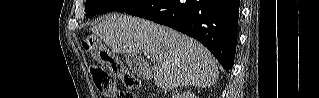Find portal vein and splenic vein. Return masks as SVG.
<instances>
[{"label":"portal vein and splenic vein","instance_id":"portal-vein-and-splenic-vein-1","mask_svg":"<svg viewBox=\"0 0 319 98\" xmlns=\"http://www.w3.org/2000/svg\"><path fill=\"white\" fill-rule=\"evenodd\" d=\"M144 55H149L148 51H143Z\"/></svg>","mask_w":319,"mask_h":98}]
</instances>
